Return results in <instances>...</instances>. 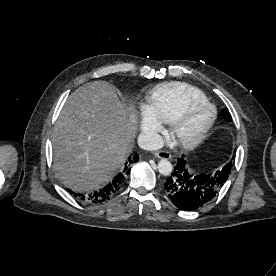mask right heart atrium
<instances>
[{
  "instance_id": "obj_1",
  "label": "right heart atrium",
  "mask_w": 276,
  "mask_h": 276,
  "mask_svg": "<svg viewBox=\"0 0 276 276\" xmlns=\"http://www.w3.org/2000/svg\"><path fill=\"white\" fill-rule=\"evenodd\" d=\"M142 128L144 132L147 133L148 135L152 137H156L157 133L161 129V124L157 119L148 115L143 119Z\"/></svg>"
}]
</instances>
